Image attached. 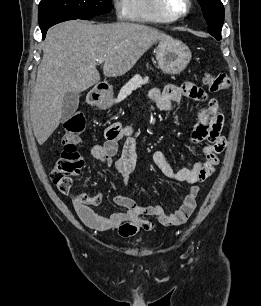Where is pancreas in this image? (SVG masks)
Here are the masks:
<instances>
[{"instance_id": "obj_1", "label": "pancreas", "mask_w": 261, "mask_h": 306, "mask_svg": "<svg viewBox=\"0 0 261 306\" xmlns=\"http://www.w3.org/2000/svg\"><path fill=\"white\" fill-rule=\"evenodd\" d=\"M149 81L148 77H141L140 75H135L130 79L119 91L117 101L123 99L129 95L133 90L140 88L142 85L147 84Z\"/></svg>"}]
</instances>
